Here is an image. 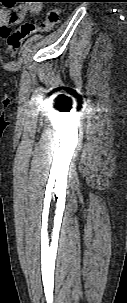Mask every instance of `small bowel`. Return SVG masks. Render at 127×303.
I'll return each instance as SVG.
<instances>
[{
    "label": "small bowel",
    "mask_w": 127,
    "mask_h": 303,
    "mask_svg": "<svg viewBox=\"0 0 127 303\" xmlns=\"http://www.w3.org/2000/svg\"><path fill=\"white\" fill-rule=\"evenodd\" d=\"M13 10L0 9V37L5 38L11 31V26L20 23L27 15H35L41 9L39 0H24Z\"/></svg>",
    "instance_id": "c3829d8e"
}]
</instances>
